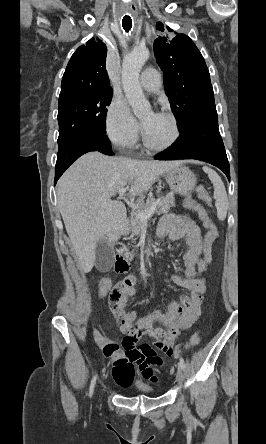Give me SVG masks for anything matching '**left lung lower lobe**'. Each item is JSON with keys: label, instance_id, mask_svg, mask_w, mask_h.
I'll return each mask as SVG.
<instances>
[{"label": "left lung lower lobe", "instance_id": "obj_1", "mask_svg": "<svg viewBox=\"0 0 266 444\" xmlns=\"http://www.w3.org/2000/svg\"><path fill=\"white\" fill-rule=\"evenodd\" d=\"M181 135L167 152L155 156L158 160L192 158L221 169L230 181V168L218 129L216 109L197 114L181 128Z\"/></svg>", "mask_w": 266, "mask_h": 444}]
</instances>
